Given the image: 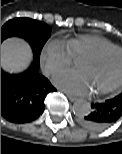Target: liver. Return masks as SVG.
Listing matches in <instances>:
<instances>
[{"label":"liver","mask_w":122,"mask_h":154,"mask_svg":"<svg viewBox=\"0 0 122 154\" xmlns=\"http://www.w3.org/2000/svg\"><path fill=\"white\" fill-rule=\"evenodd\" d=\"M32 50L29 44L20 38H9L1 45V67L10 73H18L30 65Z\"/></svg>","instance_id":"1"}]
</instances>
